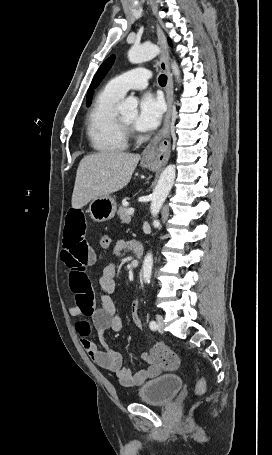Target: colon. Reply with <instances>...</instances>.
<instances>
[{"label": "colon", "mask_w": 272, "mask_h": 455, "mask_svg": "<svg viewBox=\"0 0 272 455\" xmlns=\"http://www.w3.org/2000/svg\"><path fill=\"white\" fill-rule=\"evenodd\" d=\"M99 245L102 249H107L111 245V237L107 233L101 234L99 238ZM150 359L159 364L162 368L168 370H175L180 365L178 355L165 345L158 344L150 351ZM206 383L204 378H200L196 384L195 391L197 394L205 392Z\"/></svg>", "instance_id": "colon-1"}]
</instances>
